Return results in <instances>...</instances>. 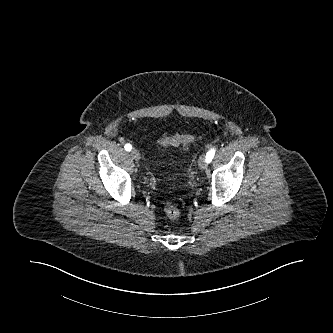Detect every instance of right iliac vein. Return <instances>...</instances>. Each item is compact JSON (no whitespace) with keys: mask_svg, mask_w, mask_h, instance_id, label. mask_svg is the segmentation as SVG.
<instances>
[{"mask_svg":"<svg viewBox=\"0 0 333 333\" xmlns=\"http://www.w3.org/2000/svg\"><path fill=\"white\" fill-rule=\"evenodd\" d=\"M130 155L136 161L140 159V153L136 149L131 150Z\"/></svg>","mask_w":333,"mask_h":333,"instance_id":"obj_1","label":"right iliac vein"}]
</instances>
